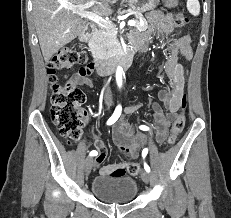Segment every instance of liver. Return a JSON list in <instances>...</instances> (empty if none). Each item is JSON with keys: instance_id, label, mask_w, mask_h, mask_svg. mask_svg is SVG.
Returning a JSON list of instances; mask_svg holds the SVG:
<instances>
[{"instance_id": "1", "label": "liver", "mask_w": 231, "mask_h": 218, "mask_svg": "<svg viewBox=\"0 0 231 218\" xmlns=\"http://www.w3.org/2000/svg\"><path fill=\"white\" fill-rule=\"evenodd\" d=\"M90 0H33V18L39 44L44 57L50 58L63 46L70 43L85 30V23L78 13L68 7L80 5ZM118 0H100L95 2L92 11L101 16L112 13L109 4ZM81 16V17H80Z\"/></svg>"}]
</instances>
